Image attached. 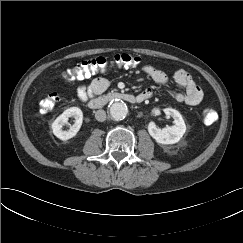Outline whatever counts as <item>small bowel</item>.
<instances>
[{
    "label": "small bowel",
    "mask_w": 243,
    "mask_h": 243,
    "mask_svg": "<svg viewBox=\"0 0 243 243\" xmlns=\"http://www.w3.org/2000/svg\"><path fill=\"white\" fill-rule=\"evenodd\" d=\"M142 71L147 74L158 86L166 88L168 86V77L160 69L154 66H144ZM173 79L179 87V91L173 93V98L179 103H185L190 106L198 105L203 99L201 88L195 83L191 75L183 70L178 69L173 74ZM109 86L108 79L98 77L93 79L88 85L81 84L77 88L78 98L86 102L94 95L105 91ZM153 94L152 89H145L139 95L144 97V100L150 98Z\"/></svg>",
    "instance_id": "c3829d8e"
}]
</instances>
